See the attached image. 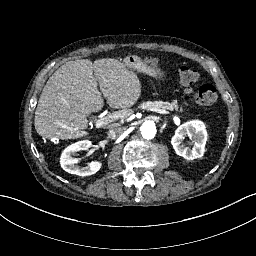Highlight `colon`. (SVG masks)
I'll return each instance as SVG.
<instances>
[{
  "label": "colon",
  "instance_id": "5ec220e1",
  "mask_svg": "<svg viewBox=\"0 0 256 256\" xmlns=\"http://www.w3.org/2000/svg\"><path fill=\"white\" fill-rule=\"evenodd\" d=\"M145 57L146 56H141L139 58L141 61H143ZM179 78L182 87L186 91L193 94L199 105L208 107L214 105L217 102L218 95L213 85L203 84L199 87H195V84L199 78V73L194 68L190 66H181L179 68Z\"/></svg>",
  "mask_w": 256,
  "mask_h": 256
}]
</instances>
